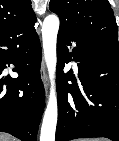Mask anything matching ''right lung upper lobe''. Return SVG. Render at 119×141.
<instances>
[{
	"label": "right lung upper lobe",
	"instance_id": "cb5924a9",
	"mask_svg": "<svg viewBox=\"0 0 119 141\" xmlns=\"http://www.w3.org/2000/svg\"><path fill=\"white\" fill-rule=\"evenodd\" d=\"M36 22L31 0H0V38Z\"/></svg>",
	"mask_w": 119,
	"mask_h": 141
}]
</instances>
